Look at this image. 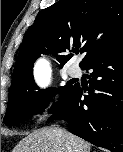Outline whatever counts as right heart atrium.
<instances>
[{"instance_id":"obj_1","label":"right heart atrium","mask_w":123,"mask_h":152,"mask_svg":"<svg viewBox=\"0 0 123 152\" xmlns=\"http://www.w3.org/2000/svg\"><path fill=\"white\" fill-rule=\"evenodd\" d=\"M56 106V99L52 95L44 96L38 103L33 112V120L39 123L48 118L54 111Z\"/></svg>"}]
</instances>
